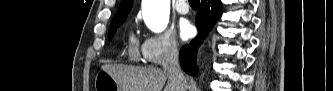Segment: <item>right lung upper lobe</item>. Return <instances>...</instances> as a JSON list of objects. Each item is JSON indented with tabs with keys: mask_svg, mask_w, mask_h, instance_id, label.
<instances>
[{
	"mask_svg": "<svg viewBox=\"0 0 333 91\" xmlns=\"http://www.w3.org/2000/svg\"><path fill=\"white\" fill-rule=\"evenodd\" d=\"M133 0H121L120 7L112 20L126 18L132 7Z\"/></svg>",
	"mask_w": 333,
	"mask_h": 91,
	"instance_id": "obj_1",
	"label": "right lung upper lobe"
}]
</instances>
